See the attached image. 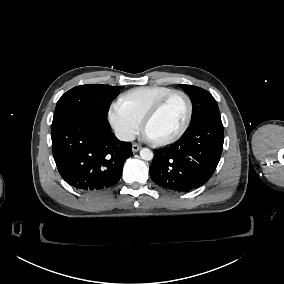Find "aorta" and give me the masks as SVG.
<instances>
[{
  "instance_id": "obj_1",
  "label": "aorta",
  "mask_w": 284,
  "mask_h": 284,
  "mask_svg": "<svg viewBox=\"0 0 284 284\" xmlns=\"http://www.w3.org/2000/svg\"><path fill=\"white\" fill-rule=\"evenodd\" d=\"M140 156L143 160L150 161L153 159V152L148 148H142L140 151Z\"/></svg>"
}]
</instances>
